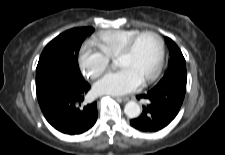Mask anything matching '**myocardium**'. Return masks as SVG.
Masks as SVG:
<instances>
[{
  "label": "myocardium",
  "mask_w": 225,
  "mask_h": 155,
  "mask_svg": "<svg viewBox=\"0 0 225 155\" xmlns=\"http://www.w3.org/2000/svg\"><path fill=\"white\" fill-rule=\"evenodd\" d=\"M146 35L153 36L158 41L159 56H158L157 64H156L154 70L152 71V73L142 81L144 84H147V83L155 80L157 78V76L159 75L161 69H162V66H163V63H164V57H165V43H164L163 38L158 33L154 32V31H150V30L140 31L136 35L132 36L126 42V44L123 46V48L120 50V52L116 56V58L119 59L121 57H125V56L129 55L133 51L137 41L141 37L146 36Z\"/></svg>",
  "instance_id": "myocardium-1"
}]
</instances>
